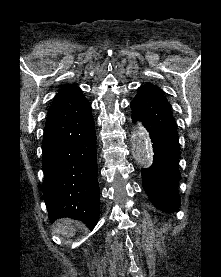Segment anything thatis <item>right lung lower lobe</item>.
Returning <instances> with one entry per match:
<instances>
[{
    "instance_id": "right-lung-lower-lobe-1",
    "label": "right lung lower lobe",
    "mask_w": 221,
    "mask_h": 277,
    "mask_svg": "<svg viewBox=\"0 0 221 277\" xmlns=\"http://www.w3.org/2000/svg\"><path fill=\"white\" fill-rule=\"evenodd\" d=\"M42 151L43 197L50 221L74 218L92 230L100 211L96 132L91 105L80 89L54 99Z\"/></svg>"
}]
</instances>
